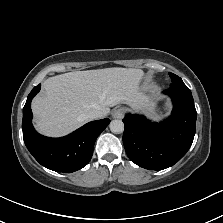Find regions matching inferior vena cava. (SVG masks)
Segmentation results:
<instances>
[{
  "instance_id": "inferior-vena-cava-1",
  "label": "inferior vena cava",
  "mask_w": 223,
  "mask_h": 223,
  "mask_svg": "<svg viewBox=\"0 0 223 223\" xmlns=\"http://www.w3.org/2000/svg\"><path fill=\"white\" fill-rule=\"evenodd\" d=\"M103 116L104 114L101 110H92L88 114L89 120H96V119L102 118Z\"/></svg>"
}]
</instances>
